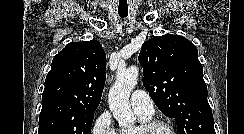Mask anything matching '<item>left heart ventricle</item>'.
I'll use <instances>...</instances> for the list:
<instances>
[{"instance_id":"obj_1","label":"left heart ventricle","mask_w":244,"mask_h":134,"mask_svg":"<svg viewBox=\"0 0 244 134\" xmlns=\"http://www.w3.org/2000/svg\"><path fill=\"white\" fill-rule=\"evenodd\" d=\"M153 134H171V132L165 127H158Z\"/></svg>"}]
</instances>
